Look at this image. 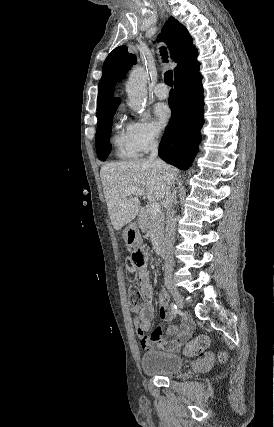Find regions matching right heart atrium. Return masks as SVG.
Returning <instances> with one entry per match:
<instances>
[{
	"label": "right heart atrium",
	"instance_id": "d8ad5b80",
	"mask_svg": "<svg viewBox=\"0 0 274 427\" xmlns=\"http://www.w3.org/2000/svg\"><path fill=\"white\" fill-rule=\"evenodd\" d=\"M127 128L132 142L139 152H148L159 142V133L148 121L131 122Z\"/></svg>",
	"mask_w": 274,
	"mask_h": 427
}]
</instances>
